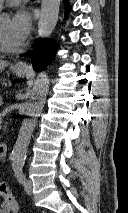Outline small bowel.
Instances as JSON below:
<instances>
[{
	"instance_id": "obj_1",
	"label": "small bowel",
	"mask_w": 128,
	"mask_h": 213,
	"mask_svg": "<svg viewBox=\"0 0 128 213\" xmlns=\"http://www.w3.org/2000/svg\"><path fill=\"white\" fill-rule=\"evenodd\" d=\"M0 213H10V210L7 208L4 202L0 204Z\"/></svg>"
}]
</instances>
